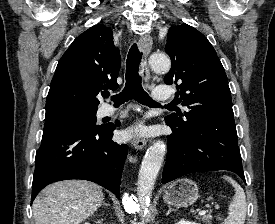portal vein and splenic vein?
Returning <instances> with one entry per match:
<instances>
[{"instance_id": "18ae733b", "label": "portal vein and splenic vein", "mask_w": 275, "mask_h": 224, "mask_svg": "<svg viewBox=\"0 0 275 224\" xmlns=\"http://www.w3.org/2000/svg\"><path fill=\"white\" fill-rule=\"evenodd\" d=\"M200 216L201 215H204V214H206V211L205 210H201V211H199V213H198Z\"/></svg>"}]
</instances>
